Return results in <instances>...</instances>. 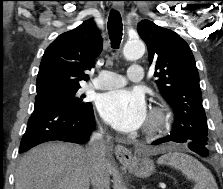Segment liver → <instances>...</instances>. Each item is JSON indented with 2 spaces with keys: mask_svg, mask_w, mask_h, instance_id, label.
<instances>
[{
  "mask_svg": "<svg viewBox=\"0 0 223 189\" xmlns=\"http://www.w3.org/2000/svg\"><path fill=\"white\" fill-rule=\"evenodd\" d=\"M91 160L86 149L53 142L31 149L15 173V189H89ZM109 174L113 169L108 162Z\"/></svg>",
  "mask_w": 223,
  "mask_h": 189,
  "instance_id": "1",
  "label": "liver"
}]
</instances>
